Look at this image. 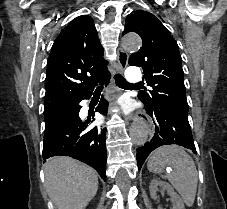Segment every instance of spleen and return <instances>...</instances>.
Here are the masks:
<instances>
[{"label": "spleen", "mask_w": 227, "mask_h": 209, "mask_svg": "<svg viewBox=\"0 0 227 209\" xmlns=\"http://www.w3.org/2000/svg\"><path fill=\"white\" fill-rule=\"evenodd\" d=\"M147 167L150 173H156V175L163 173L166 167L173 169L166 179L178 191L187 207L194 205L198 173L192 157L186 153L185 149L178 145L159 147L152 153Z\"/></svg>", "instance_id": "3e777b00"}]
</instances>
